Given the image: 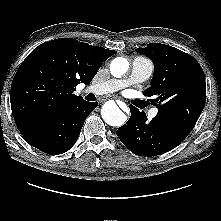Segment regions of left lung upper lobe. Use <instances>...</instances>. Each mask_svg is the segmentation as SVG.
Masks as SVG:
<instances>
[{
	"label": "left lung upper lobe",
	"mask_w": 221,
	"mask_h": 221,
	"mask_svg": "<svg viewBox=\"0 0 221 221\" xmlns=\"http://www.w3.org/2000/svg\"><path fill=\"white\" fill-rule=\"evenodd\" d=\"M137 52L154 63V75L145 96L158 107L157 116L181 136L194 128L206 102V83L199 63L189 54L159 43H150Z\"/></svg>",
	"instance_id": "obj_1"
}]
</instances>
